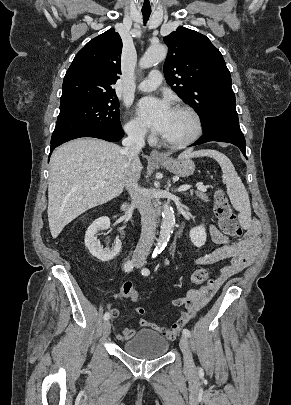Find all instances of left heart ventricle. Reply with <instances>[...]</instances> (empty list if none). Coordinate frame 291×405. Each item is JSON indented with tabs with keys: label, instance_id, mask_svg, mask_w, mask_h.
Masks as SVG:
<instances>
[{
	"label": "left heart ventricle",
	"instance_id": "b2bd125f",
	"mask_svg": "<svg viewBox=\"0 0 291 405\" xmlns=\"http://www.w3.org/2000/svg\"><path fill=\"white\" fill-rule=\"evenodd\" d=\"M193 128V121L186 112L173 109L169 124L162 136L173 141L183 140L191 135Z\"/></svg>",
	"mask_w": 291,
	"mask_h": 405
}]
</instances>
